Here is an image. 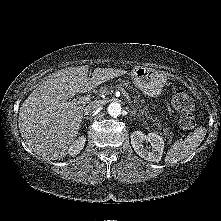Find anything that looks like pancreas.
Masks as SVG:
<instances>
[{
  "label": "pancreas",
  "mask_w": 221,
  "mask_h": 221,
  "mask_svg": "<svg viewBox=\"0 0 221 221\" xmlns=\"http://www.w3.org/2000/svg\"><path fill=\"white\" fill-rule=\"evenodd\" d=\"M126 89V90H130V91H135V89L133 88V86H131V83L125 80H119V84L116 86H101L99 89V92L101 94H107L110 93L111 91H113V89ZM133 101H131V103H133L135 110L138 111V116L142 118V121H144L146 123V121H151L153 122V126L158 127V129H161L163 126L160 122H158L157 120H155L148 111L147 106L144 105L145 101L141 98V96L139 94L134 95L133 97ZM164 131V136L167 139H171V135L169 133L168 128H163Z\"/></svg>",
  "instance_id": "pancreas-1"
}]
</instances>
